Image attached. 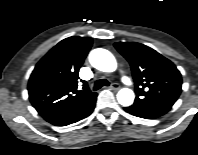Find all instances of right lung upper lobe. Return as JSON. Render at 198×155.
<instances>
[{
	"mask_svg": "<svg viewBox=\"0 0 198 155\" xmlns=\"http://www.w3.org/2000/svg\"><path fill=\"white\" fill-rule=\"evenodd\" d=\"M91 46L92 38L69 37L37 63L28 91L32 105L42 117L68 109L93 93L85 81L84 90L77 89L79 69Z\"/></svg>",
	"mask_w": 198,
	"mask_h": 155,
	"instance_id": "obj_1",
	"label": "right lung upper lobe"
}]
</instances>
